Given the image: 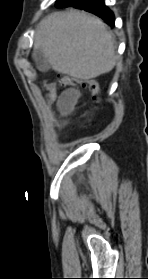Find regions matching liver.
Wrapping results in <instances>:
<instances>
[{
    "instance_id": "1",
    "label": "liver",
    "mask_w": 148,
    "mask_h": 279,
    "mask_svg": "<svg viewBox=\"0 0 148 279\" xmlns=\"http://www.w3.org/2000/svg\"><path fill=\"white\" fill-rule=\"evenodd\" d=\"M36 51L44 53L54 71L81 80L108 73L117 60L106 25L75 10L52 13L40 22L34 41Z\"/></svg>"
}]
</instances>
